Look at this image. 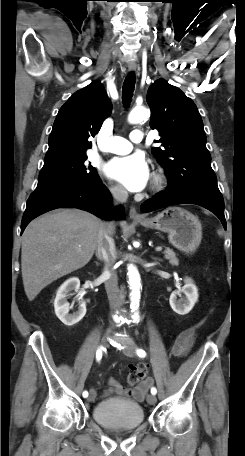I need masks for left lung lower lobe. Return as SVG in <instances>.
I'll return each instance as SVG.
<instances>
[{
    "instance_id": "left-lung-lower-lobe-1",
    "label": "left lung lower lobe",
    "mask_w": 245,
    "mask_h": 456,
    "mask_svg": "<svg viewBox=\"0 0 245 456\" xmlns=\"http://www.w3.org/2000/svg\"><path fill=\"white\" fill-rule=\"evenodd\" d=\"M197 204L213 212L226 228L224 201L220 191L205 188H176L169 186L141 205L143 212L178 204Z\"/></svg>"
}]
</instances>
